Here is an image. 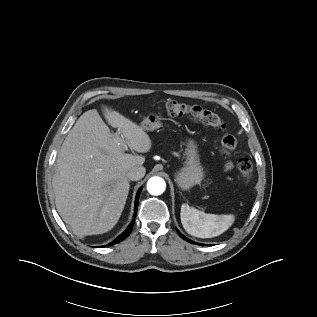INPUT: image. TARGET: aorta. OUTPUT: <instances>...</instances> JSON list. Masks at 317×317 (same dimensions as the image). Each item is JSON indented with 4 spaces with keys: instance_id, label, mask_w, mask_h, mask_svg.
Instances as JSON below:
<instances>
[{
    "instance_id": "762f6f07",
    "label": "aorta",
    "mask_w": 317,
    "mask_h": 317,
    "mask_svg": "<svg viewBox=\"0 0 317 317\" xmlns=\"http://www.w3.org/2000/svg\"><path fill=\"white\" fill-rule=\"evenodd\" d=\"M166 188V183L164 179L158 176L151 177L147 182V191L151 195H161Z\"/></svg>"
}]
</instances>
